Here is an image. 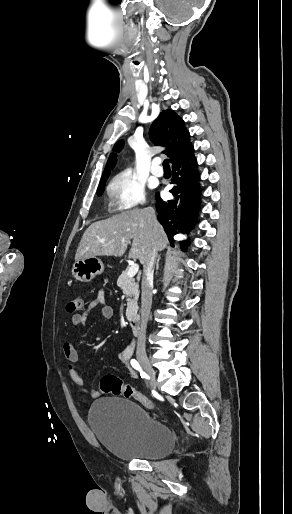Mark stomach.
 <instances>
[{
	"label": "stomach",
	"instance_id": "stomach-1",
	"mask_svg": "<svg viewBox=\"0 0 292 514\" xmlns=\"http://www.w3.org/2000/svg\"><path fill=\"white\" fill-rule=\"evenodd\" d=\"M104 272V264L99 258H83V260H76L72 268V276L79 282H91L95 276Z\"/></svg>",
	"mask_w": 292,
	"mask_h": 514
}]
</instances>
